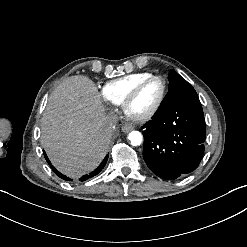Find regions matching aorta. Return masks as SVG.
Returning a JSON list of instances; mask_svg holds the SVG:
<instances>
[{
  "label": "aorta",
  "mask_w": 247,
  "mask_h": 247,
  "mask_svg": "<svg viewBox=\"0 0 247 247\" xmlns=\"http://www.w3.org/2000/svg\"><path fill=\"white\" fill-rule=\"evenodd\" d=\"M132 146H139L143 141V136L139 131H132L128 135Z\"/></svg>",
  "instance_id": "762f6f07"
}]
</instances>
